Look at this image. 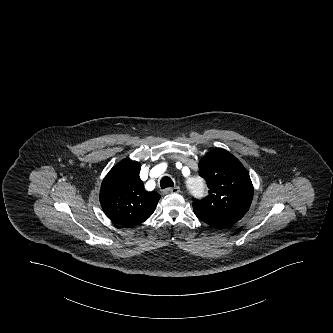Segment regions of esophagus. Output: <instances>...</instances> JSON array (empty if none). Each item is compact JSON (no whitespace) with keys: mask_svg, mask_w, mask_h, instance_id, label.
Here are the masks:
<instances>
[{"mask_svg":"<svg viewBox=\"0 0 333 333\" xmlns=\"http://www.w3.org/2000/svg\"><path fill=\"white\" fill-rule=\"evenodd\" d=\"M180 188L175 186V187H171V188H167L163 190L164 194H170V193H179Z\"/></svg>","mask_w":333,"mask_h":333,"instance_id":"1","label":"esophagus"}]
</instances>
